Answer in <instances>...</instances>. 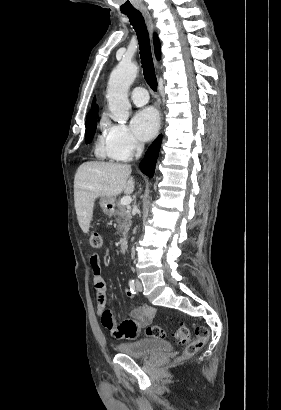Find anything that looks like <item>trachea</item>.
<instances>
[{"label": "trachea", "mask_w": 281, "mask_h": 410, "mask_svg": "<svg viewBox=\"0 0 281 410\" xmlns=\"http://www.w3.org/2000/svg\"><path fill=\"white\" fill-rule=\"evenodd\" d=\"M128 16L131 25L136 31L139 49H140V58L143 68L144 78L147 84L153 91L157 90V78L155 74V69L153 65V59L151 54L149 34L147 27L145 25L144 18L140 11L124 13Z\"/></svg>", "instance_id": "obj_1"}]
</instances>
